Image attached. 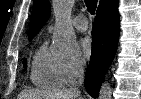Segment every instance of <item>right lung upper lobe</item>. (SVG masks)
Returning a JSON list of instances; mask_svg holds the SVG:
<instances>
[{"instance_id": "obj_1", "label": "right lung upper lobe", "mask_w": 141, "mask_h": 99, "mask_svg": "<svg viewBox=\"0 0 141 99\" xmlns=\"http://www.w3.org/2000/svg\"><path fill=\"white\" fill-rule=\"evenodd\" d=\"M105 0H101L102 3ZM51 13V7L48 0H35L30 21L29 40L40 31L48 20Z\"/></svg>"}]
</instances>
